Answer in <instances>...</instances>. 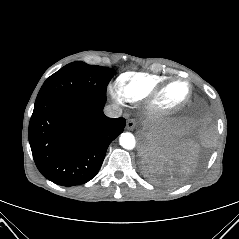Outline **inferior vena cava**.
<instances>
[{
    "instance_id": "inferior-vena-cava-1",
    "label": "inferior vena cava",
    "mask_w": 239,
    "mask_h": 239,
    "mask_svg": "<svg viewBox=\"0 0 239 239\" xmlns=\"http://www.w3.org/2000/svg\"><path fill=\"white\" fill-rule=\"evenodd\" d=\"M104 113L110 118H118L122 115V108L115 104L107 105L104 108Z\"/></svg>"
}]
</instances>
